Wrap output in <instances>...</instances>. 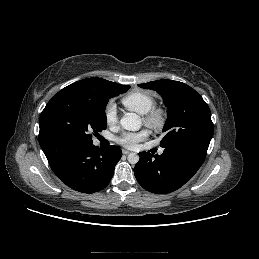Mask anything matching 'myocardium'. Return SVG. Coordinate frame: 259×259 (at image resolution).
<instances>
[{
    "label": "myocardium",
    "mask_w": 259,
    "mask_h": 259,
    "mask_svg": "<svg viewBox=\"0 0 259 259\" xmlns=\"http://www.w3.org/2000/svg\"><path fill=\"white\" fill-rule=\"evenodd\" d=\"M145 124L154 131H161L167 121L166 111L160 107L153 106L143 116Z\"/></svg>",
    "instance_id": "obj_1"
}]
</instances>
